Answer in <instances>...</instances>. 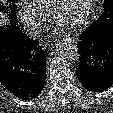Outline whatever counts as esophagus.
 <instances>
[{
    "label": "esophagus",
    "mask_w": 113,
    "mask_h": 113,
    "mask_svg": "<svg viewBox=\"0 0 113 113\" xmlns=\"http://www.w3.org/2000/svg\"><path fill=\"white\" fill-rule=\"evenodd\" d=\"M68 40H72L73 42H76L75 38H67Z\"/></svg>",
    "instance_id": "1"
}]
</instances>
